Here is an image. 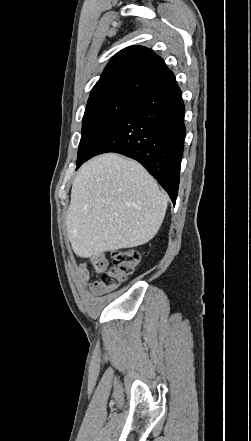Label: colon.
Masks as SVG:
<instances>
[{
	"label": "colon",
	"instance_id": "colon-1",
	"mask_svg": "<svg viewBox=\"0 0 251 441\" xmlns=\"http://www.w3.org/2000/svg\"><path fill=\"white\" fill-rule=\"evenodd\" d=\"M140 261V254L134 249H120L112 254L110 264L105 268L101 282L114 287L127 280L135 271Z\"/></svg>",
	"mask_w": 251,
	"mask_h": 441
}]
</instances>
